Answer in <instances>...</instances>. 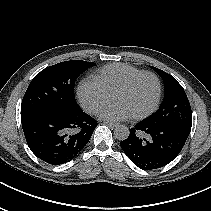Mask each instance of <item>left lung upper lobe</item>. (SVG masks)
Wrapping results in <instances>:
<instances>
[{
    "instance_id": "5c2ea615",
    "label": "left lung upper lobe",
    "mask_w": 211,
    "mask_h": 211,
    "mask_svg": "<svg viewBox=\"0 0 211 211\" xmlns=\"http://www.w3.org/2000/svg\"><path fill=\"white\" fill-rule=\"evenodd\" d=\"M163 79L165 85L164 101L160 109L144 121L176 127L190 133L192 112L184 89L170 74L151 66Z\"/></svg>"
}]
</instances>
